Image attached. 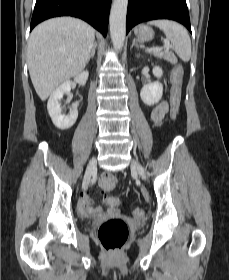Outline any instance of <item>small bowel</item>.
<instances>
[{
	"instance_id": "c3829d8e",
	"label": "small bowel",
	"mask_w": 229,
	"mask_h": 280,
	"mask_svg": "<svg viewBox=\"0 0 229 280\" xmlns=\"http://www.w3.org/2000/svg\"><path fill=\"white\" fill-rule=\"evenodd\" d=\"M168 112V104L166 101L161 100L151 111V120L154 124H159L165 115ZM110 189L104 190V203L106 204V208H92L91 200L89 198L90 191L84 190L82 196L79 199L77 205L78 214L81 217H89V216H102V215H118L119 209L118 206L114 204V200L116 197L107 196L106 191Z\"/></svg>"
}]
</instances>
